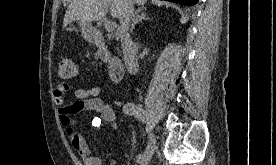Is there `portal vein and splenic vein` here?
Listing matches in <instances>:
<instances>
[{"label": "portal vein and splenic vein", "mask_w": 276, "mask_h": 165, "mask_svg": "<svg viewBox=\"0 0 276 165\" xmlns=\"http://www.w3.org/2000/svg\"><path fill=\"white\" fill-rule=\"evenodd\" d=\"M117 27L116 22L110 21L105 24V28L108 32L114 31V29Z\"/></svg>", "instance_id": "portal-vein-and-splenic-vein-1"}]
</instances>
